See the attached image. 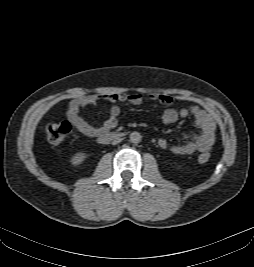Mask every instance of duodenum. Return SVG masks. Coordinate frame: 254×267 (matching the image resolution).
<instances>
[{
    "mask_svg": "<svg viewBox=\"0 0 254 267\" xmlns=\"http://www.w3.org/2000/svg\"><path fill=\"white\" fill-rule=\"evenodd\" d=\"M120 136H122L121 133L111 132V133H107V134H104L101 137H99V141L102 143H107V142H109L115 138L120 137Z\"/></svg>",
    "mask_w": 254,
    "mask_h": 267,
    "instance_id": "1",
    "label": "duodenum"
}]
</instances>
